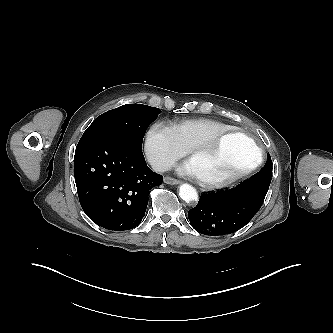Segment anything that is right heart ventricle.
I'll use <instances>...</instances> for the list:
<instances>
[{
  "mask_svg": "<svg viewBox=\"0 0 333 333\" xmlns=\"http://www.w3.org/2000/svg\"><path fill=\"white\" fill-rule=\"evenodd\" d=\"M182 146L189 150L193 145L232 126L209 118L184 119L170 127Z\"/></svg>",
  "mask_w": 333,
  "mask_h": 333,
  "instance_id": "1",
  "label": "right heart ventricle"
}]
</instances>
